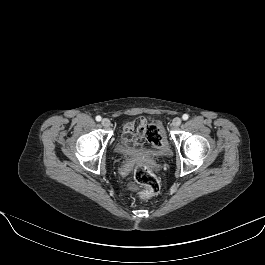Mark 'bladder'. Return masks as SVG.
Returning a JSON list of instances; mask_svg holds the SVG:
<instances>
[{"label":"bladder","mask_w":265,"mask_h":265,"mask_svg":"<svg viewBox=\"0 0 265 265\" xmlns=\"http://www.w3.org/2000/svg\"><path fill=\"white\" fill-rule=\"evenodd\" d=\"M131 145V144H130ZM130 145H126L124 142H123V139L121 138L116 146V150L119 152V153H122V154H126L127 152H129V146Z\"/></svg>","instance_id":"1"}]
</instances>
